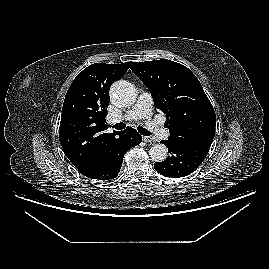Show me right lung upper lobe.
I'll use <instances>...</instances> for the list:
<instances>
[{
    "instance_id": "1",
    "label": "right lung upper lobe",
    "mask_w": 269,
    "mask_h": 269,
    "mask_svg": "<svg viewBox=\"0 0 269 269\" xmlns=\"http://www.w3.org/2000/svg\"><path fill=\"white\" fill-rule=\"evenodd\" d=\"M130 63L92 64L69 87L62 108L59 140L77 169L92 166L118 138L119 131L106 133L108 93L111 84L127 72Z\"/></svg>"
}]
</instances>
